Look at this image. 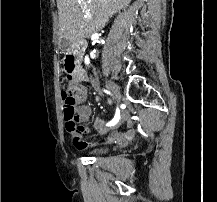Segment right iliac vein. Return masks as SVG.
<instances>
[{
    "label": "right iliac vein",
    "mask_w": 217,
    "mask_h": 202,
    "mask_svg": "<svg viewBox=\"0 0 217 202\" xmlns=\"http://www.w3.org/2000/svg\"><path fill=\"white\" fill-rule=\"evenodd\" d=\"M106 84L109 87V89L112 91L115 99L118 101L120 99V90L117 87V85L111 81H106Z\"/></svg>",
    "instance_id": "obj_1"
}]
</instances>
